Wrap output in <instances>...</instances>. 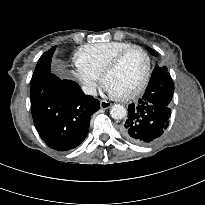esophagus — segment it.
Returning a JSON list of instances; mask_svg holds the SVG:
<instances>
[{
  "label": "esophagus",
  "instance_id": "esophagus-1",
  "mask_svg": "<svg viewBox=\"0 0 205 205\" xmlns=\"http://www.w3.org/2000/svg\"><path fill=\"white\" fill-rule=\"evenodd\" d=\"M100 107H101L102 109H108V108L111 107V103L108 102V101H106V100H101V101H100Z\"/></svg>",
  "mask_w": 205,
  "mask_h": 205
}]
</instances>
